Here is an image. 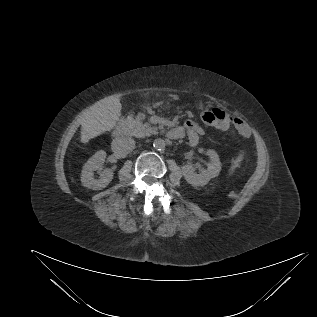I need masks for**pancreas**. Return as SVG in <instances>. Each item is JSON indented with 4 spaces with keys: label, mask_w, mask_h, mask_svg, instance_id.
<instances>
[{
    "label": "pancreas",
    "mask_w": 317,
    "mask_h": 317,
    "mask_svg": "<svg viewBox=\"0 0 317 317\" xmlns=\"http://www.w3.org/2000/svg\"><path fill=\"white\" fill-rule=\"evenodd\" d=\"M144 119L145 115L143 113L135 117L130 115L128 119H126V134L141 138L156 133L157 128L151 127L148 122L143 123Z\"/></svg>",
    "instance_id": "obj_1"
}]
</instances>
